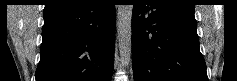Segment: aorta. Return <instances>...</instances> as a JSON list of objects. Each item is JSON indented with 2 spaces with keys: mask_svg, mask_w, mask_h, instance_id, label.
<instances>
[{
  "mask_svg": "<svg viewBox=\"0 0 237 81\" xmlns=\"http://www.w3.org/2000/svg\"><path fill=\"white\" fill-rule=\"evenodd\" d=\"M132 11L133 5L117 6V39L122 65L130 64L132 54Z\"/></svg>",
  "mask_w": 237,
  "mask_h": 81,
  "instance_id": "1",
  "label": "aorta"
}]
</instances>
